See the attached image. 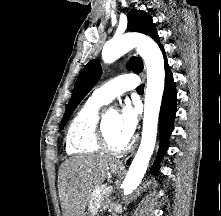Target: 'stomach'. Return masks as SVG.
<instances>
[{"label": "stomach", "instance_id": "1", "mask_svg": "<svg viewBox=\"0 0 221 216\" xmlns=\"http://www.w3.org/2000/svg\"><path fill=\"white\" fill-rule=\"evenodd\" d=\"M110 170H111L113 173H119V172L121 171V170H120L118 167H116L114 164H111ZM83 216H93V214L90 213V212H86V213H84Z\"/></svg>", "mask_w": 221, "mask_h": 216}]
</instances>
